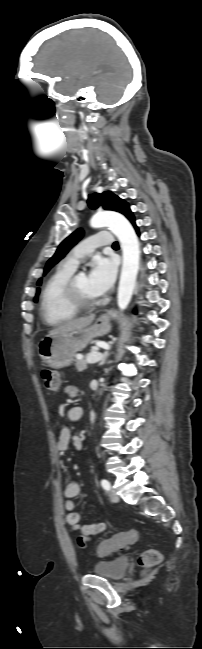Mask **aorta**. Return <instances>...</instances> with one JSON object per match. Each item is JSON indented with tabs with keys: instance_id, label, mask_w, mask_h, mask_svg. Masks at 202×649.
I'll return each instance as SVG.
<instances>
[{
	"instance_id": "1",
	"label": "aorta",
	"mask_w": 202,
	"mask_h": 649,
	"mask_svg": "<svg viewBox=\"0 0 202 649\" xmlns=\"http://www.w3.org/2000/svg\"><path fill=\"white\" fill-rule=\"evenodd\" d=\"M93 228L108 227L119 239L123 253V263L117 294V305L125 310L136 284L139 269L140 249L136 233L130 222L114 211L98 212L90 221Z\"/></svg>"
}]
</instances>
